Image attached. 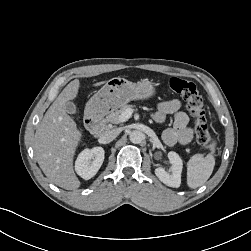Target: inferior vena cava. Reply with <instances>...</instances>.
Here are the masks:
<instances>
[{"mask_svg": "<svg viewBox=\"0 0 251 251\" xmlns=\"http://www.w3.org/2000/svg\"><path fill=\"white\" fill-rule=\"evenodd\" d=\"M120 134L119 129H108L100 137V142L103 144H108L113 141Z\"/></svg>", "mask_w": 251, "mask_h": 251, "instance_id": "inferior-vena-cava-1", "label": "inferior vena cava"}]
</instances>
